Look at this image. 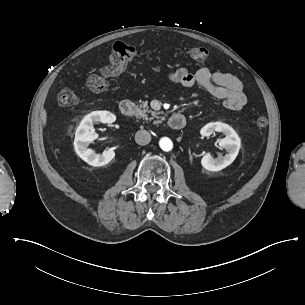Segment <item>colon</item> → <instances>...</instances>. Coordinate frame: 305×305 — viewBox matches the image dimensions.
<instances>
[{"mask_svg":"<svg viewBox=\"0 0 305 305\" xmlns=\"http://www.w3.org/2000/svg\"><path fill=\"white\" fill-rule=\"evenodd\" d=\"M137 46L134 45H118L115 49V61L111 65H106L96 69L87 79V88L92 93H101L107 90L108 80L122 72L131 60L139 55ZM186 55L192 60L206 62L209 58V52L206 48L198 46H190L185 49ZM59 105L70 107L78 102L75 93L70 89H63L57 96ZM268 123L265 115H259L256 124L260 128H265Z\"/></svg>","mask_w":305,"mask_h":305,"instance_id":"1","label":"colon"}]
</instances>
